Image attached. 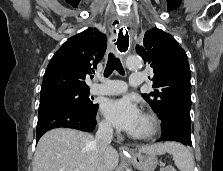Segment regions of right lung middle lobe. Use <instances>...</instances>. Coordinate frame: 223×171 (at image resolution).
Returning a JSON list of instances; mask_svg holds the SVG:
<instances>
[{"instance_id": "dd1d6c3e", "label": "right lung middle lobe", "mask_w": 223, "mask_h": 171, "mask_svg": "<svg viewBox=\"0 0 223 171\" xmlns=\"http://www.w3.org/2000/svg\"><path fill=\"white\" fill-rule=\"evenodd\" d=\"M88 96L89 90H84L62 92L40 98L39 113L53 107L69 106L93 114L97 111L98 104H93Z\"/></svg>"}]
</instances>
